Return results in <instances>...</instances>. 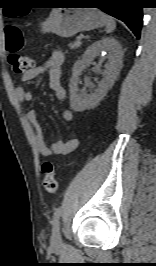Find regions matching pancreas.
Masks as SVG:
<instances>
[{
  "mask_svg": "<svg viewBox=\"0 0 156 266\" xmlns=\"http://www.w3.org/2000/svg\"><path fill=\"white\" fill-rule=\"evenodd\" d=\"M80 45H81V42L77 40V41H75L74 43H70V44H69V47H70L71 49H75V48L80 47Z\"/></svg>",
  "mask_w": 156,
  "mask_h": 266,
  "instance_id": "1",
  "label": "pancreas"
}]
</instances>
